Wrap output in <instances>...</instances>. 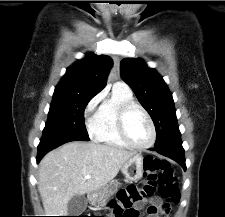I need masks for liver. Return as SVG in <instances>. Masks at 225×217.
I'll use <instances>...</instances> for the list:
<instances>
[{
	"mask_svg": "<svg viewBox=\"0 0 225 217\" xmlns=\"http://www.w3.org/2000/svg\"><path fill=\"white\" fill-rule=\"evenodd\" d=\"M134 155L124 149L80 141L47 153L38 168V191L45 214L67 216L68 202L73 196L106 186ZM86 175L91 178L85 179Z\"/></svg>",
	"mask_w": 225,
	"mask_h": 217,
	"instance_id": "1",
	"label": "liver"
}]
</instances>
